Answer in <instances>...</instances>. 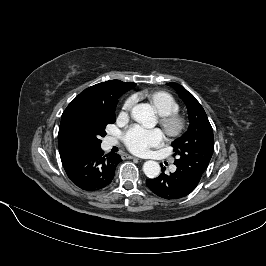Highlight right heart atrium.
I'll return each instance as SVG.
<instances>
[{
    "label": "right heart atrium",
    "mask_w": 266,
    "mask_h": 266,
    "mask_svg": "<svg viewBox=\"0 0 266 266\" xmlns=\"http://www.w3.org/2000/svg\"><path fill=\"white\" fill-rule=\"evenodd\" d=\"M136 99H137L136 95H131L130 97H128L123 104V110L129 111L132 108V106L135 104Z\"/></svg>",
    "instance_id": "right-heart-atrium-1"
}]
</instances>
